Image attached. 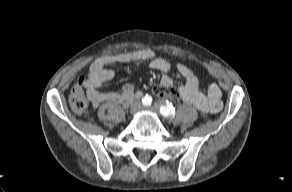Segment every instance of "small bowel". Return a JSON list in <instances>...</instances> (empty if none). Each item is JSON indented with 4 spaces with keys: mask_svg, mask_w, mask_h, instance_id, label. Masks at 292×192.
<instances>
[{
    "mask_svg": "<svg viewBox=\"0 0 292 192\" xmlns=\"http://www.w3.org/2000/svg\"><path fill=\"white\" fill-rule=\"evenodd\" d=\"M146 63L151 69L162 73L170 72L173 69V66L167 60L155 57L154 51L150 48L121 53L95 63L90 70L88 79L84 83L92 106L98 107L105 102L127 106L134 99L140 98L142 93L136 91L132 84H125L121 93L102 92L100 88L113 80L115 76L113 64L131 65L130 70L137 72ZM175 69L184 79V83L175 88L172 80L165 75L161 79V86L173 89L178 97L184 102L194 105L203 116L215 114L221 110L222 93L216 83H211L204 93L200 90L198 77L188 66L177 64Z\"/></svg>",
    "mask_w": 292,
    "mask_h": 192,
    "instance_id": "small-bowel-1",
    "label": "small bowel"
}]
</instances>
